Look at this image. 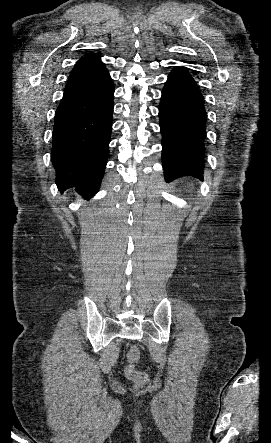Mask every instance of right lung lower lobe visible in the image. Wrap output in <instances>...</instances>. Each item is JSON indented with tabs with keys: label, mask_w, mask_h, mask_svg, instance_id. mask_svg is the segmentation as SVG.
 <instances>
[{
	"label": "right lung lower lobe",
	"mask_w": 271,
	"mask_h": 443,
	"mask_svg": "<svg viewBox=\"0 0 271 443\" xmlns=\"http://www.w3.org/2000/svg\"><path fill=\"white\" fill-rule=\"evenodd\" d=\"M111 78L65 88L55 113L52 163L60 191L75 187L84 198L99 190L112 128Z\"/></svg>",
	"instance_id": "1"
}]
</instances>
